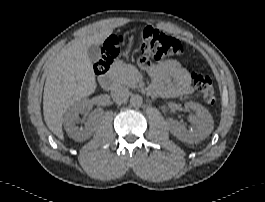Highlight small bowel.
Masks as SVG:
<instances>
[{
	"label": "small bowel",
	"instance_id": "obj_1",
	"mask_svg": "<svg viewBox=\"0 0 265 202\" xmlns=\"http://www.w3.org/2000/svg\"><path fill=\"white\" fill-rule=\"evenodd\" d=\"M141 67L152 79L148 87L150 95L177 97L191 93L193 90L189 71L174 59L158 64L149 62L141 64Z\"/></svg>",
	"mask_w": 265,
	"mask_h": 202
}]
</instances>
